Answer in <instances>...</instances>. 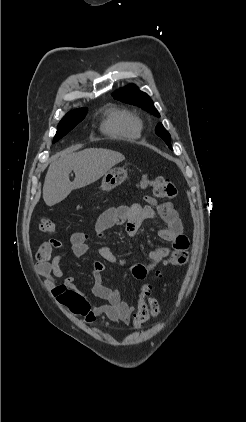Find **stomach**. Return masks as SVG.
I'll use <instances>...</instances> for the list:
<instances>
[{
	"instance_id": "0dacf381",
	"label": "stomach",
	"mask_w": 246,
	"mask_h": 422,
	"mask_svg": "<svg viewBox=\"0 0 246 422\" xmlns=\"http://www.w3.org/2000/svg\"><path fill=\"white\" fill-rule=\"evenodd\" d=\"M127 179V170L123 168H115L108 171L103 179L101 188L103 191H111L121 185Z\"/></svg>"
}]
</instances>
